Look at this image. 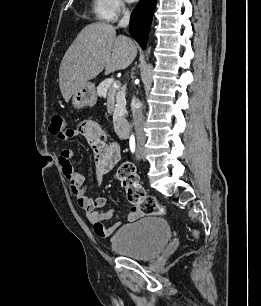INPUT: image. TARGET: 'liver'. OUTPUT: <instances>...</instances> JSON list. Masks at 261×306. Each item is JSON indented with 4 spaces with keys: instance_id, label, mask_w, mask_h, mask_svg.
Masks as SVG:
<instances>
[{
    "instance_id": "6515ba94",
    "label": "liver",
    "mask_w": 261,
    "mask_h": 306,
    "mask_svg": "<svg viewBox=\"0 0 261 306\" xmlns=\"http://www.w3.org/2000/svg\"><path fill=\"white\" fill-rule=\"evenodd\" d=\"M137 55V47L129 37H116L115 28L107 23L85 26L66 51L59 69V87L68 102L83 84L104 69L109 75L126 69Z\"/></svg>"
}]
</instances>
